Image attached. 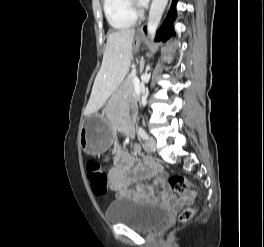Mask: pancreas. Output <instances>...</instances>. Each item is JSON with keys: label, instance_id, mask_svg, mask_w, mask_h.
<instances>
[{"label": "pancreas", "instance_id": "cf45deb5", "mask_svg": "<svg viewBox=\"0 0 264 247\" xmlns=\"http://www.w3.org/2000/svg\"><path fill=\"white\" fill-rule=\"evenodd\" d=\"M135 77L134 74H130L128 78L123 82V84L120 87V95L121 97H130L131 100H135V94H134V86L132 83V79Z\"/></svg>", "mask_w": 264, "mask_h": 247}]
</instances>
